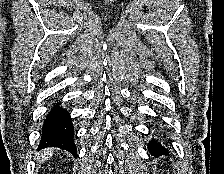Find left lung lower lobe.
<instances>
[{
    "label": "left lung lower lobe",
    "mask_w": 224,
    "mask_h": 174,
    "mask_svg": "<svg viewBox=\"0 0 224 174\" xmlns=\"http://www.w3.org/2000/svg\"><path fill=\"white\" fill-rule=\"evenodd\" d=\"M149 152L152 155H161V154H167V150L164 146L161 145V143L155 141L154 139L151 140L148 144Z\"/></svg>",
    "instance_id": "obj_1"
}]
</instances>
